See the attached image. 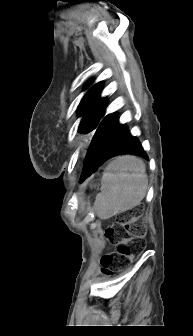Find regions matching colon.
<instances>
[{
    "instance_id": "5ec220e1",
    "label": "colon",
    "mask_w": 193,
    "mask_h": 336,
    "mask_svg": "<svg viewBox=\"0 0 193 336\" xmlns=\"http://www.w3.org/2000/svg\"><path fill=\"white\" fill-rule=\"evenodd\" d=\"M105 235L108 240L117 243L116 255L133 257L142 248L146 227L139 221L135 211H127L120 214L116 223L106 229ZM114 259L115 254L113 253L102 256L100 263L105 273L111 272Z\"/></svg>"
}]
</instances>
